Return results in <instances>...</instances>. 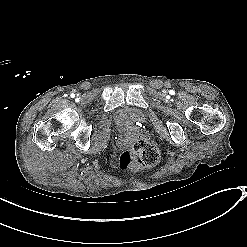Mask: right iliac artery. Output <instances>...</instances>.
Wrapping results in <instances>:
<instances>
[{"label":"right iliac artery","instance_id":"82829eb1","mask_svg":"<svg viewBox=\"0 0 247 247\" xmlns=\"http://www.w3.org/2000/svg\"><path fill=\"white\" fill-rule=\"evenodd\" d=\"M71 97L74 98L75 97V94H71Z\"/></svg>","mask_w":247,"mask_h":247}]
</instances>
